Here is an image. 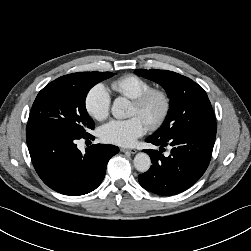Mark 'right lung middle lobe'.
I'll list each match as a JSON object with an SVG mask.
<instances>
[{
  "label": "right lung middle lobe",
  "mask_w": 251,
  "mask_h": 251,
  "mask_svg": "<svg viewBox=\"0 0 251 251\" xmlns=\"http://www.w3.org/2000/svg\"><path fill=\"white\" fill-rule=\"evenodd\" d=\"M111 72H81L70 80H54L37 95L28 126H37L76 138H85L94 129V121L85 108L89 90L112 77Z\"/></svg>",
  "instance_id": "dd1d6c3e"
}]
</instances>
